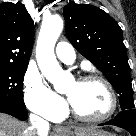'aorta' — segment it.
<instances>
[{"mask_svg":"<svg viewBox=\"0 0 136 136\" xmlns=\"http://www.w3.org/2000/svg\"><path fill=\"white\" fill-rule=\"evenodd\" d=\"M63 29L60 16L43 19L36 47V59L44 77L53 84L57 92H64L66 83L72 77L60 67L54 47Z\"/></svg>","mask_w":136,"mask_h":136,"instance_id":"aorta-1","label":"aorta"}]
</instances>
